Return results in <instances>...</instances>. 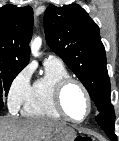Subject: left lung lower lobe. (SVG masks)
Instances as JSON below:
<instances>
[{
  "instance_id": "left-lung-lower-lobe-1",
  "label": "left lung lower lobe",
  "mask_w": 119,
  "mask_h": 141,
  "mask_svg": "<svg viewBox=\"0 0 119 141\" xmlns=\"http://www.w3.org/2000/svg\"><path fill=\"white\" fill-rule=\"evenodd\" d=\"M96 121L112 141H117V136L114 133L115 114L112 105L101 111L96 117Z\"/></svg>"
}]
</instances>
